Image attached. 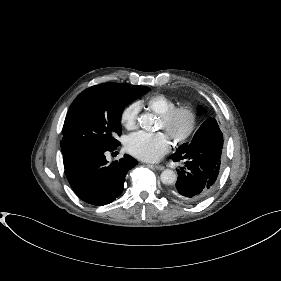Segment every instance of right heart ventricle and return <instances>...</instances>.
<instances>
[{
  "label": "right heart ventricle",
  "instance_id": "1",
  "mask_svg": "<svg viewBox=\"0 0 281 281\" xmlns=\"http://www.w3.org/2000/svg\"><path fill=\"white\" fill-rule=\"evenodd\" d=\"M139 104L145 106L150 111L161 116L164 113L173 109L177 103L176 101L165 94H154L141 101Z\"/></svg>",
  "mask_w": 281,
  "mask_h": 281
}]
</instances>
